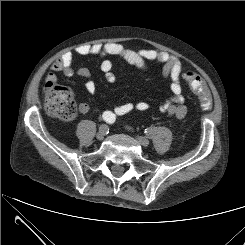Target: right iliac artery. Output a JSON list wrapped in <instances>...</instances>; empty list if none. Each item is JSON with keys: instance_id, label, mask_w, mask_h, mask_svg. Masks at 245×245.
<instances>
[{"instance_id": "82829eb1", "label": "right iliac artery", "mask_w": 245, "mask_h": 245, "mask_svg": "<svg viewBox=\"0 0 245 245\" xmlns=\"http://www.w3.org/2000/svg\"><path fill=\"white\" fill-rule=\"evenodd\" d=\"M107 113V112H106ZM103 119L107 122V123H113L114 121H112L110 119V115H106L105 113L103 114ZM102 126V131L105 132V134H108V126L107 125H101ZM100 126V127H101Z\"/></svg>"}]
</instances>
